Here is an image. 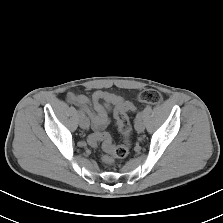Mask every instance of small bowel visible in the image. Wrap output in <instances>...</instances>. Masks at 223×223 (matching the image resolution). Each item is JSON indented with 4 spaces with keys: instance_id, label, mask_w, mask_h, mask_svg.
I'll list each match as a JSON object with an SVG mask.
<instances>
[{
    "instance_id": "1",
    "label": "small bowel",
    "mask_w": 223,
    "mask_h": 223,
    "mask_svg": "<svg viewBox=\"0 0 223 223\" xmlns=\"http://www.w3.org/2000/svg\"><path fill=\"white\" fill-rule=\"evenodd\" d=\"M69 103L80 107L90 118L94 130L104 129L109 124V107L102 104H121L123 99L118 94L106 91H95L91 97L84 94L69 92L67 94Z\"/></svg>"
}]
</instances>
